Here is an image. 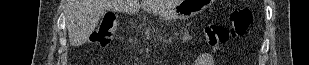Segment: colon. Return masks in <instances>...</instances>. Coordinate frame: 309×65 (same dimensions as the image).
Wrapping results in <instances>:
<instances>
[{"label": "colon", "mask_w": 309, "mask_h": 65, "mask_svg": "<svg viewBox=\"0 0 309 65\" xmlns=\"http://www.w3.org/2000/svg\"><path fill=\"white\" fill-rule=\"evenodd\" d=\"M253 20L250 9L239 8L232 12L228 26L221 24H207L203 27L202 33L205 42L214 46L225 43L230 38L244 36ZM120 26V21L115 16L104 18L101 23L99 33L95 36V41L102 47L109 46L115 33Z\"/></svg>", "instance_id": "obj_1"}]
</instances>
